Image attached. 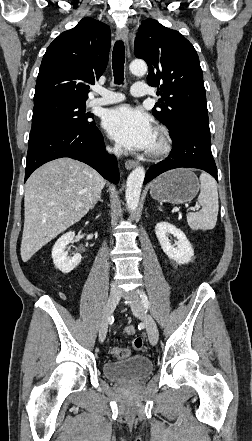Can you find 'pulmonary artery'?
Instances as JSON below:
<instances>
[{
  "label": "pulmonary artery",
  "mask_w": 252,
  "mask_h": 441,
  "mask_svg": "<svg viewBox=\"0 0 252 441\" xmlns=\"http://www.w3.org/2000/svg\"><path fill=\"white\" fill-rule=\"evenodd\" d=\"M99 97H95L89 100L88 105L91 107L109 105L114 103L122 102L125 97L119 92L107 91L103 89H96ZM131 94L134 97H144L150 94L147 86L145 84H134L131 87Z\"/></svg>",
  "instance_id": "e3ab8cb5"
}]
</instances>
